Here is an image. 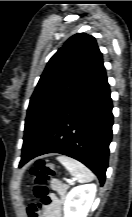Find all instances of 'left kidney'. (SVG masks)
<instances>
[{
	"label": "left kidney",
	"instance_id": "left-kidney-1",
	"mask_svg": "<svg viewBox=\"0 0 132 217\" xmlns=\"http://www.w3.org/2000/svg\"><path fill=\"white\" fill-rule=\"evenodd\" d=\"M95 184L74 187L64 203V217H87L96 194Z\"/></svg>",
	"mask_w": 132,
	"mask_h": 217
}]
</instances>
